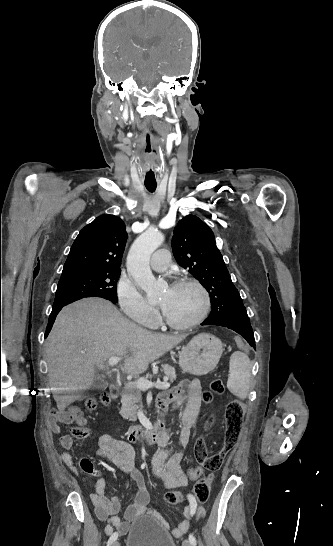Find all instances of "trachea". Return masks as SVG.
<instances>
[{
	"instance_id": "3493384b",
	"label": "trachea",
	"mask_w": 333,
	"mask_h": 546,
	"mask_svg": "<svg viewBox=\"0 0 333 546\" xmlns=\"http://www.w3.org/2000/svg\"><path fill=\"white\" fill-rule=\"evenodd\" d=\"M147 174L151 175L152 177H155V174L152 170H150V172H148ZM145 187L149 192H154L156 190L157 184L145 183Z\"/></svg>"
}]
</instances>
